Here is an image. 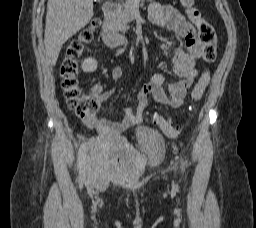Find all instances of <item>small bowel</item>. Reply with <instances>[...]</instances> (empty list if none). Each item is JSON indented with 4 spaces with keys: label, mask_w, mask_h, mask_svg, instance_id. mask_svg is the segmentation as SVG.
Masks as SVG:
<instances>
[{
    "label": "small bowel",
    "mask_w": 256,
    "mask_h": 228,
    "mask_svg": "<svg viewBox=\"0 0 256 228\" xmlns=\"http://www.w3.org/2000/svg\"><path fill=\"white\" fill-rule=\"evenodd\" d=\"M149 19L154 25L165 27L183 38L185 49L177 48L173 56V71L180 80L170 84V94L167 95L163 86V76L160 74L151 75L148 81L137 92V107L135 111L130 107H126L124 109V116L119 121L95 117L85 119L86 125L95 129L97 132L119 133L141 124L149 96H152L160 104L172 108H179L184 102L188 89L192 86L198 75L195 65L196 60L202 55V44L196 35L194 26L176 8L158 3L151 5ZM171 45L172 43L170 41H165L160 45V48L162 50H168ZM121 75L122 70L120 67L116 66L112 68V79L116 80ZM92 92L99 96L101 100L106 101L112 97L114 90H104L101 85H95L92 87Z\"/></svg>",
    "instance_id": "small-bowel-1"
}]
</instances>
